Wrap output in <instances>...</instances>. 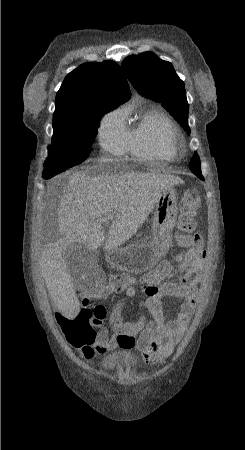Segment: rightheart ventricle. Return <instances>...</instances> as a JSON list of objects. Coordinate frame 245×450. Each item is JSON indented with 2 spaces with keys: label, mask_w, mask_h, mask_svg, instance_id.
I'll return each mask as SVG.
<instances>
[{
  "label": "right heart ventricle",
  "mask_w": 245,
  "mask_h": 450,
  "mask_svg": "<svg viewBox=\"0 0 245 450\" xmlns=\"http://www.w3.org/2000/svg\"><path fill=\"white\" fill-rule=\"evenodd\" d=\"M129 115L124 112V118ZM168 120L158 109L143 113L138 121L126 129L127 150L141 158L172 159L177 146L167 133Z\"/></svg>",
  "instance_id": "obj_1"
}]
</instances>
